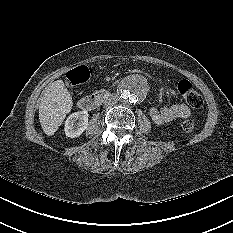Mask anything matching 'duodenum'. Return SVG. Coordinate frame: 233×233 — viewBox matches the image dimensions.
Returning <instances> with one entry per match:
<instances>
[{
  "instance_id": "410a0bca",
  "label": "duodenum",
  "mask_w": 233,
  "mask_h": 233,
  "mask_svg": "<svg viewBox=\"0 0 233 233\" xmlns=\"http://www.w3.org/2000/svg\"><path fill=\"white\" fill-rule=\"evenodd\" d=\"M109 96L110 93L108 91H97L93 94L81 97L78 100V106L82 110L91 111L96 109Z\"/></svg>"
}]
</instances>
